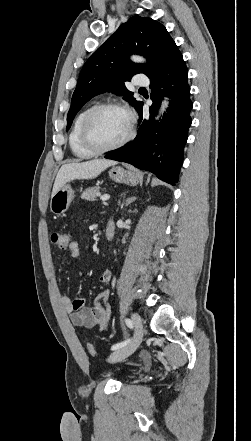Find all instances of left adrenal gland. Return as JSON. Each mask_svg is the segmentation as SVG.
<instances>
[{
    "instance_id": "obj_1",
    "label": "left adrenal gland",
    "mask_w": 251,
    "mask_h": 441,
    "mask_svg": "<svg viewBox=\"0 0 251 441\" xmlns=\"http://www.w3.org/2000/svg\"><path fill=\"white\" fill-rule=\"evenodd\" d=\"M131 200H132V198H130L128 202H131Z\"/></svg>"
}]
</instances>
